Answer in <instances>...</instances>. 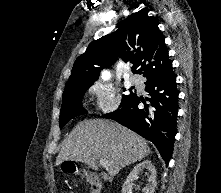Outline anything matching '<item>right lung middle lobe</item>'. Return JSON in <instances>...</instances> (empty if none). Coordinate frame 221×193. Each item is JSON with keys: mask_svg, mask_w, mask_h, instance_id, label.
<instances>
[{"mask_svg": "<svg viewBox=\"0 0 221 193\" xmlns=\"http://www.w3.org/2000/svg\"><path fill=\"white\" fill-rule=\"evenodd\" d=\"M89 87L90 86H76L65 88L59 118L60 128L63 127L71 118L87 113L82 106V98ZM134 95L135 93L123 95L120 106L126 103Z\"/></svg>", "mask_w": 221, "mask_h": 193, "instance_id": "1", "label": "right lung middle lobe"}]
</instances>
